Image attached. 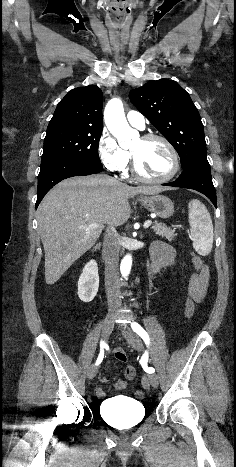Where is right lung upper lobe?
<instances>
[{
  "instance_id": "right-lung-upper-lobe-1",
  "label": "right lung upper lobe",
  "mask_w": 236,
  "mask_h": 467,
  "mask_svg": "<svg viewBox=\"0 0 236 467\" xmlns=\"http://www.w3.org/2000/svg\"><path fill=\"white\" fill-rule=\"evenodd\" d=\"M103 94L96 85L75 88L58 103L48 128L68 126L102 129Z\"/></svg>"
}]
</instances>
